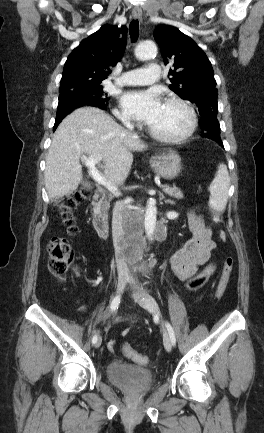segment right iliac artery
<instances>
[{
	"mask_svg": "<svg viewBox=\"0 0 264 433\" xmlns=\"http://www.w3.org/2000/svg\"><path fill=\"white\" fill-rule=\"evenodd\" d=\"M120 303V296L115 297L110 304V311L113 312L118 309ZM97 335H94L92 338V343L95 344L97 342Z\"/></svg>",
	"mask_w": 264,
	"mask_h": 433,
	"instance_id": "1",
	"label": "right iliac artery"
}]
</instances>
